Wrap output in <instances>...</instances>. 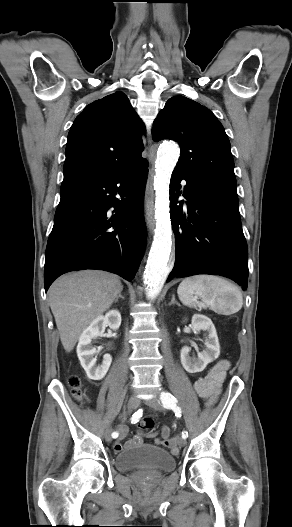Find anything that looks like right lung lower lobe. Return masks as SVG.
I'll use <instances>...</instances> for the list:
<instances>
[{
    "instance_id": "98d812e1",
    "label": "right lung lower lobe",
    "mask_w": 292,
    "mask_h": 527,
    "mask_svg": "<svg viewBox=\"0 0 292 527\" xmlns=\"http://www.w3.org/2000/svg\"><path fill=\"white\" fill-rule=\"evenodd\" d=\"M147 174L148 163L143 161L107 177L63 180L46 248L45 291L57 277L75 270L99 269L128 281L134 278L146 246Z\"/></svg>"
}]
</instances>
